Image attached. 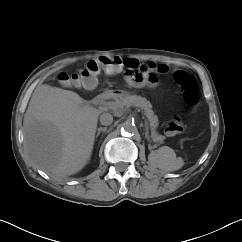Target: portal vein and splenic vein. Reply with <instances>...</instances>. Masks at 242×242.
Returning a JSON list of instances; mask_svg holds the SVG:
<instances>
[{
  "instance_id": "18ae733b",
  "label": "portal vein and splenic vein",
  "mask_w": 242,
  "mask_h": 242,
  "mask_svg": "<svg viewBox=\"0 0 242 242\" xmlns=\"http://www.w3.org/2000/svg\"><path fill=\"white\" fill-rule=\"evenodd\" d=\"M109 108L112 109V110H116L119 108L118 104L115 103V102H111L108 104ZM145 124L147 125V122H145Z\"/></svg>"
}]
</instances>
